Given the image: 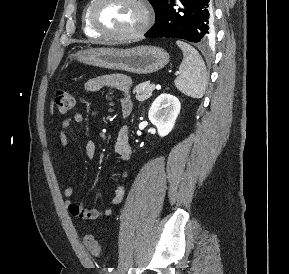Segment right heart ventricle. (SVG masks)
<instances>
[{
	"label": "right heart ventricle",
	"mask_w": 289,
	"mask_h": 274,
	"mask_svg": "<svg viewBox=\"0 0 289 274\" xmlns=\"http://www.w3.org/2000/svg\"><path fill=\"white\" fill-rule=\"evenodd\" d=\"M90 4L91 3H89L85 7V10L83 13V18H82V25H83V30H84L86 35H88L89 37L96 38V37H99L100 35L92 29V27L89 24V20H88V11H89Z\"/></svg>",
	"instance_id": "obj_1"
}]
</instances>
